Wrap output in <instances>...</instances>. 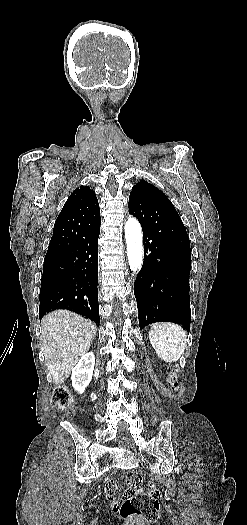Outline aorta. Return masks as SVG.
I'll use <instances>...</instances> for the list:
<instances>
[{
	"label": "aorta",
	"instance_id": "762f6f07",
	"mask_svg": "<svg viewBox=\"0 0 247 525\" xmlns=\"http://www.w3.org/2000/svg\"><path fill=\"white\" fill-rule=\"evenodd\" d=\"M124 231L130 269L136 273L141 269L143 263L142 229L135 218H128Z\"/></svg>",
	"mask_w": 247,
	"mask_h": 525
}]
</instances>
